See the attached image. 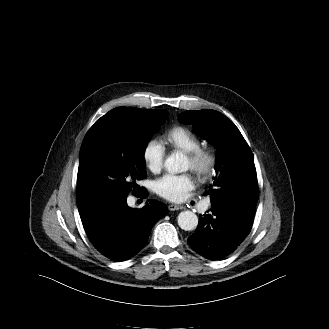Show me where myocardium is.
<instances>
[{
  "label": "myocardium",
  "mask_w": 329,
  "mask_h": 329,
  "mask_svg": "<svg viewBox=\"0 0 329 329\" xmlns=\"http://www.w3.org/2000/svg\"><path fill=\"white\" fill-rule=\"evenodd\" d=\"M191 162V170L201 179L210 177L218 163L216 152L210 147H198L186 152Z\"/></svg>",
  "instance_id": "myocardium-1"
}]
</instances>
